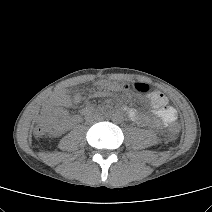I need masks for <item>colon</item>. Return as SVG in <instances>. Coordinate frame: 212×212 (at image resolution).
Wrapping results in <instances>:
<instances>
[{"instance_id":"colon-1","label":"colon","mask_w":212,"mask_h":212,"mask_svg":"<svg viewBox=\"0 0 212 212\" xmlns=\"http://www.w3.org/2000/svg\"><path fill=\"white\" fill-rule=\"evenodd\" d=\"M97 88L102 93L109 94L113 90V85L108 80L101 79L97 83ZM134 89L141 93H147L150 90L149 86L144 83L134 84ZM52 128H53L52 123L49 120H44L35 125L33 132L35 136L42 137L48 134L52 130ZM178 132H179V127L175 124L169 128V136L171 138H174L178 134Z\"/></svg>"}]
</instances>
